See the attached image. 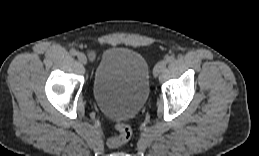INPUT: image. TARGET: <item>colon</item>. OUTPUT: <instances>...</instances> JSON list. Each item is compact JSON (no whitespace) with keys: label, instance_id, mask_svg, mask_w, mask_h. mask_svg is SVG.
Listing matches in <instances>:
<instances>
[{"label":"colon","instance_id":"obj_1","mask_svg":"<svg viewBox=\"0 0 259 156\" xmlns=\"http://www.w3.org/2000/svg\"><path fill=\"white\" fill-rule=\"evenodd\" d=\"M115 128L117 130V135L109 140L108 144L110 147L123 145L127 143L132 136V130L130 126L125 123L118 122L115 124Z\"/></svg>","mask_w":259,"mask_h":156}]
</instances>
